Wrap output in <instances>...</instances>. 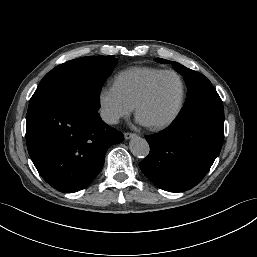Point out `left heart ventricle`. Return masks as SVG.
<instances>
[{
  "label": "left heart ventricle",
  "mask_w": 257,
  "mask_h": 257,
  "mask_svg": "<svg viewBox=\"0 0 257 257\" xmlns=\"http://www.w3.org/2000/svg\"><path fill=\"white\" fill-rule=\"evenodd\" d=\"M180 91V84L175 76L162 77L155 84L150 96L141 105L139 115L149 124L166 120L178 104Z\"/></svg>",
  "instance_id": "obj_1"
}]
</instances>
